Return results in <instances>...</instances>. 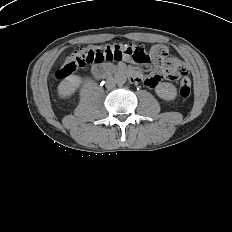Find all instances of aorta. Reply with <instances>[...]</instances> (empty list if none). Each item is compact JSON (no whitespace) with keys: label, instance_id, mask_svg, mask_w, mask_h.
<instances>
[{"label":"aorta","instance_id":"obj_1","mask_svg":"<svg viewBox=\"0 0 232 232\" xmlns=\"http://www.w3.org/2000/svg\"><path fill=\"white\" fill-rule=\"evenodd\" d=\"M114 81L117 85L121 86L126 83L127 77L124 73L119 72L114 76Z\"/></svg>","mask_w":232,"mask_h":232}]
</instances>
